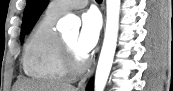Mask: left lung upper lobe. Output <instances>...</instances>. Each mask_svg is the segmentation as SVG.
<instances>
[{
	"instance_id": "1",
	"label": "left lung upper lobe",
	"mask_w": 173,
	"mask_h": 91,
	"mask_svg": "<svg viewBox=\"0 0 173 91\" xmlns=\"http://www.w3.org/2000/svg\"><path fill=\"white\" fill-rule=\"evenodd\" d=\"M37 0H28L25 10H24V15H23V22H22V27H21V35L20 38L23 39L27 26H28V21H29V17L30 14L32 13L35 5L37 4Z\"/></svg>"
}]
</instances>
